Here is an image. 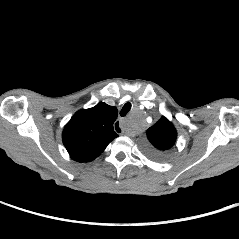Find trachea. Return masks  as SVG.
<instances>
[{"label": "trachea", "mask_w": 239, "mask_h": 239, "mask_svg": "<svg viewBox=\"0 0 239 239\" xmlns=\"http://www.w3.org/2000/svg\"><path fill=\"white\" fill-rule=\"evenodd\" d=\"M130 109H131V103L128 102L123 106V108L120 112V115L125 116L130 111Z\"/></svg>", "instance_id": "3493384b"}]
</instances>
